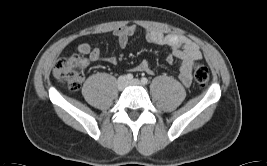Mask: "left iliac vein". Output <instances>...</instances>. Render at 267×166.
<instances>
[{"instance_id":"left-iliac-vein-1","label":"left iliac vein","mask_w":267,"mask_h":166,"mask_svg":"<svg viewBox=\"0 0 267 166\" xmlns=\"http://www.w3.org/2000/svg\"><path fill=\"white\" fill-rule=\"evenodd\" d=\"M130 83H132V84H138L139 82H138V80H133Z\"/></svg>"}]
</instances>
